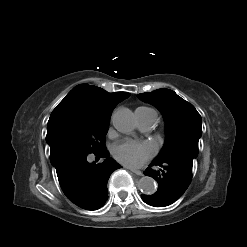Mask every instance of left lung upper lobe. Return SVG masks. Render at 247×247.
<instances>
[{
  "instance_id": "left-lung-upper-lobe-1",
  "label": "left lung upper lobe",
  "mask_w": 247,
  "mask_h": 247,
  "mask_svg": "<svg viewBox=\"0 0 247 247\" xmlns=\"http://www.w3.org/2000/svg\"><path fill=\"white\" fill-rule=\"evenodd\" d=\"M138 97L155 105L162 112L166 122V142L156 159L174 155L196 158L202 120L195 107L169 89L142 93Z\"/></svg>"
}]
</instances>
